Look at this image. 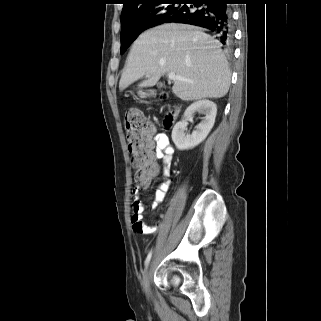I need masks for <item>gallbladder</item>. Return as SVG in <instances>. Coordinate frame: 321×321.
<instances>
[{"mask_svg":"<svg viewBox=\"0 0 321 321\" xmlns=\"http://www.w3.org/2000/svg\"><path fill=\"white\" fill-rule=\"evenodd\" d=\"M157 86H158V88H161V87H163V84L159 83Z\"/></svg>","mask_w":321,"mask_h":321,"instance_id":"gallbladder-1","label":"gallbladder"}]
</instances>
